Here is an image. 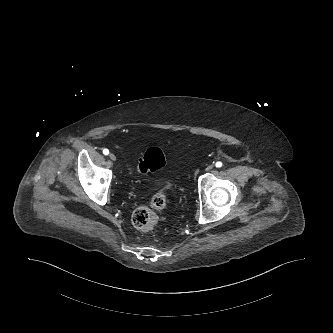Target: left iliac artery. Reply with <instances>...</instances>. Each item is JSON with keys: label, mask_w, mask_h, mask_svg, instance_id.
I'll return each mask as SVG.
<instances>
[{"label": "left iliac artery", "mask_w": 333, "mask_h": 333, "mask_svg": "<svg viewBox=\"0 0 333 333\" xmlns=\"http://www.w3.org/2000/svg\"><path fill=\"white\" fill-rule=\"evenodd\" d=\"M215 166H216L217 168H220V167L222 166V162H220V161L216 162Z\"/></svg>", "instance_id": "44dca946"}]
</instances>
